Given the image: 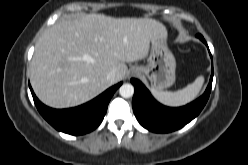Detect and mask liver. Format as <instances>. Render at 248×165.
<instances>
[{
    "label": "liver",
    "instance_id": "1",
    "mask_svg": "<svg viewBox=\"0 0 248 165\" xmlns=\"http://www.w3.org/2000/svg\"><path fill=\"white\" fill-rule=\"evenodd\" d=\"M166 27L150 18H113L86 14L62 19L35 46L30 65L32 88L53 108L81 105L122 80L127 63L144 59L150 43ZM116 72L114 82L107 80Z\"/></svg>",
    "mask_w": 248,
    "mask_h": 165
}]
</instances>
